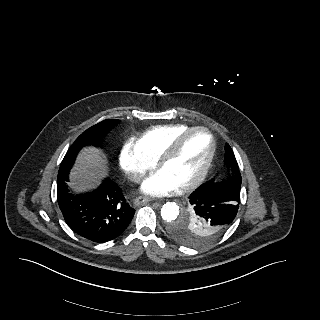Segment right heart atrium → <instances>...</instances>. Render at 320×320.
I'll return each instance as SVG.
<instances>
[{"instance_id":"d8ad5b80","label":"right heart atrium","mask_w":320,"mask_h":320,"mask_svg":"<svg viewBox=\"0 0 320 320\" xmlns=\"http://www.w3.org/2000/svg\"><path fill=\"white\" fill-rule=\"evenodd\" d=\"M119 163L127 178L137 183L154 167V162L146 158L134 142H127L120 153Z\"/></svg>"}]
</instances>
